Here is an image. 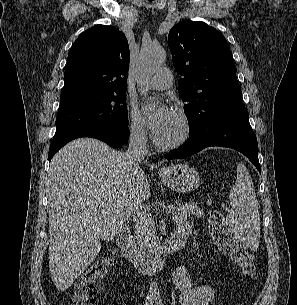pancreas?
<instances>
[{"label": "pancreas", "mask_w": 297, "mask_h": 305, "mask_svg": "<svg viewBox=\"0 0 297 305\" xmlns=\"http://www.w3.org/2000/svg\"><path fill=\"white\" fill-rule=\"evenodd\" d=\"M191 215H195L197 218L203 215V210L196 202L173 206L172 220L174 223L181 224ZM156 231L154 219L149 214L140 216L135 221L134 241L141 254L150 255L158 246L159 238L156 236Z\"/></svg>", "instance_id": "pancreas-1"}]
</instances>
